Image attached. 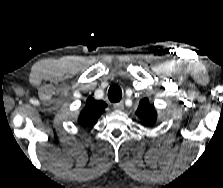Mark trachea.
I'll return each instance as SVG.
<instances>
[{
  "label": "trachea",
  "instance_id": "obj_1",
  "mask_svg": "<svg viewBox=\"0 0 223 188\" xmlns=\"http://www.w3.org/2000/svg\"><path fill=\"white\" fill-rule=\"evenodd\" d=\"M108 98L111 102H119L122 98V90L119 86L113 85L108 90Z\"/></svg>",
  "mask_w": 223,
  "mask_h": 188
}]
</instances>
